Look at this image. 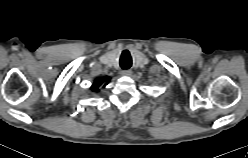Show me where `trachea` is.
Wrapping results in <instances>:
<instances>
[{"label": "trachea", "mask_w": 248, "mask_h": 158, "mask_svg": "<svg viewBox=\"0 0 248 158\" xmlns=\"http://www.w3.org/2000/svg\"><path fill=\"white\" fill-rule=\"evenodd\" d=\"M132 65V59L129 54H123L120 59V66L122 69H128Z\"/></svg>", "instance_id": "obj_1"}]
</instances>
